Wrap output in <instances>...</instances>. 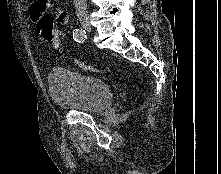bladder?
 <instances>
[{
	"instance_id": "1",
	"label": "bladder",
	"mask_w": 221,
	"mask_h": 174,
	"mask_svg": "<svg viewBox=\"0 0 221 174\" xmlns=\"http://www.w3.org/2000/svg\"><path fill=\"white\" fill-rule=\"evenodd\" d=\"M48 87L56 105L81 112L104 111L113 101V92L104 80L65 67H54L50 71Z\"/></svg>"
}]
</instances>
